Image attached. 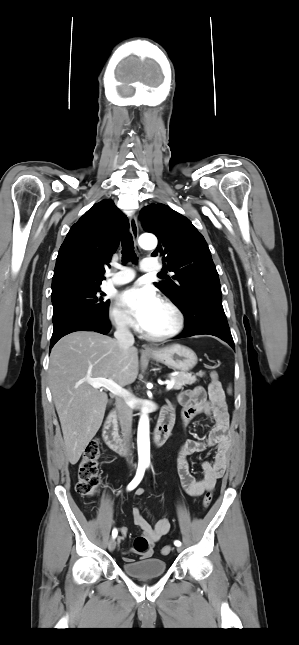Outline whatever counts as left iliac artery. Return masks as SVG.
<instances>
[{"mask_svg": "<svg viewBox=\"0 0 299 645\" xmlns=\"http://www.w3.org/2000/svg\"><path fill=\"white\" fill-rule=\"evenodd\" d=\"M175 546H181V542L179 540L174 541Z\"/></svg>", "mask_w": 299, "mask_h": 645, "instance_id": "44dca946", "label": "left iliac artery"}]
</instances>
